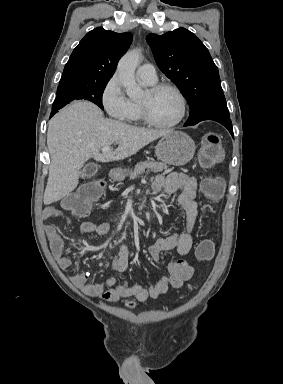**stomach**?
Listing matches in <instances>:
<instances>
[{"label":"stomach","instance_id":"1","mask_svg":"<svg viewBox=\"0 0 283 384\" xmlns=\"http://www.w3.org/2000/svg\"><path fill=\"white\" fill-rule=\"evenodd\" d=\"M155 154L165 164L185 166L195 154V144L184 132H170L158 142Z\"/></svg>","mask_w":283,"mask_h":384}]
</instances>
